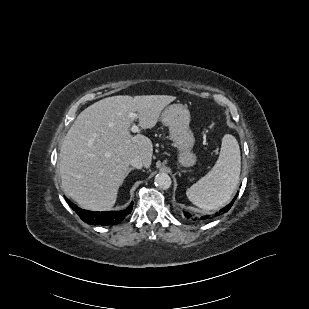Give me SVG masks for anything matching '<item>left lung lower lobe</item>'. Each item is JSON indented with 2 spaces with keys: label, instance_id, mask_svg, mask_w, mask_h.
Listing matches in <instances>:
<instances>
[{
  "label": "left lung lower lobe",
  "instance_id": "0a47b994",
  "mask_svg": "<svg viewBox=\"0 0 309 309\" xmlns=\"http://www.w3.org/2000/svg\"><path fill=\"white\" fill-rule=\"evenodd\" d=\"M239 193V192H238ZM238 193L236 194V196H235V198L232 200V202L230 203V204H228L226 207H224L223 209H221L220 211H219V213L220 212H228L229 211V209L232 207V205H233V203H234V201H235V199L237 198V196H238ZM219 213H216L215 215H213V216H203V217H201V218H192V216L189 214V213H187V212H184V215L188 218V219H193V220H208V219H211V218H214V217H216Z\"/></svg>",
  "mask_w": 309,
  "mask_h": 309
}]
</instances>
